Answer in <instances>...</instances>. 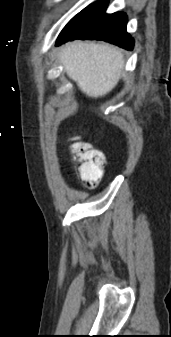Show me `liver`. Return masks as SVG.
I'll list each match as a JSON object with an SVG mask.
<instances>
[{
  "mask_svg": "<svg viewBox=\"0 0 171 337\" xmlns=\"http://www.w3.org/2000/svg\"><path fill=\"white\" fill-rule=\"evenodd\" d=\"M60 62L67 75L89 97H101L118 83L124 66L122 52L109 44L75 41L65 45Z\"/></svg>",
  "mask_w": 171,
  "mask_h": 337,
  "instance_id": "liver-1",
  "label": "liver"
}]
</instances>
